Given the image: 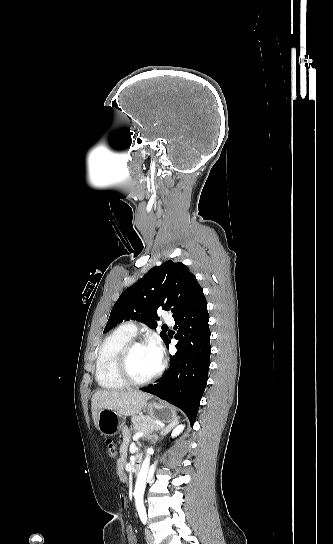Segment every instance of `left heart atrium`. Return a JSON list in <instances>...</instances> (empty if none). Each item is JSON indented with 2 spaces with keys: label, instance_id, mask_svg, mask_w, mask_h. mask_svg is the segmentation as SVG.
Wrapping results in <instances>:
<instances>
[{
  "label": "left heart atrium",
  "instance_id": "1",
  "mask_svg": "<svg viewBox=\"0 0 333 544\" xmlns=\"http://www.w3.org/2000/svg\"><path fill=\"white\" fill-rule=\"evenodd\" d=\"M149 347H150L151 351L153 352L157 362L159 364H161L162 359H163V351H162L161 345L158 342H153V343L149 344Z\"/></svg>",
  "mask_w": 333,
  "mask_h": 544
}]
</instances>
